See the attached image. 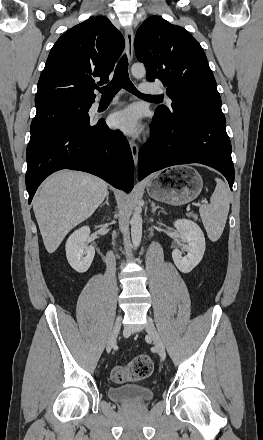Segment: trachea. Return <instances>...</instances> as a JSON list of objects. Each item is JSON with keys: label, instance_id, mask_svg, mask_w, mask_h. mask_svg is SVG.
Returning a JSON list of instances; mask_svg holds the SVG:
<instances>
[{"label": "trachea", "instance_id": "3493384b", "mask_svg": "<svg viewBox=\"0 0 263 440\" xmlns=\"http://www.w3.org/2000/svg\"><path fill=\"white\" fill-rule=\"evenodd\" d=\"M121 88H124L128 92L135 94L139 97L160 98L159 96H155V95L152 96V95L141 94L139 91H137V89L132 84L129 78L128 59L126 55H123L120 61L118 62L112 81L107 86L103 88H99V91L102 93L103 97H111V96H115L116 93Z\"/></svg>", "mask_w": 263, "mask_h": 440}]
</instances>
